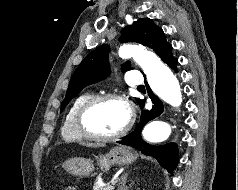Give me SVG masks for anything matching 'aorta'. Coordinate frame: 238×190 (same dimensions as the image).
<instances>
[{
  "label": "aorta",
  "mask_w": 238,
  "mask_h": 190,
  "mask_svg": "<svg viewBox=\"0 0 238 190\" xmlns=\"http://www.w3.org/2000/svg\"><path fill=\"white\" fill-rule=\"evenodd\" d=\"M119 55L123 58H133L147 76L151 90L161 100L173 107H179L182 94L179 82L169 67L153 53L144 47L125 44L120 47ZM171 133L169 123L163 120H154L146 125L143 137L150 143H161L168 139Z\"/></svg>",
  "instance_id": "aorta-1"
}]
</instances>
